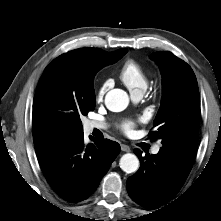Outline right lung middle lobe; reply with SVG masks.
<instances>
[{
  "label": "right lung middle lobe",
  "mask_w": 221,
  "mask_h": 221,
  "mask_svg": "<svg viewBox=\"0 0 221 221\" xmlns=\"http://www.w3.org/2000/svg\"><path fill=\"white\" fill-rule=\"evenodd\" d=\"M123 54L82 66L70 63L66 59L53 60L45 68L38 83L33 117L42 119L55 131L68 134L83 133L80 117L95 108V73L102 67L117 62Z\"/></svg>",
  "instance_id": "right-lung-middle-lobe-1"
}]
</instances>
